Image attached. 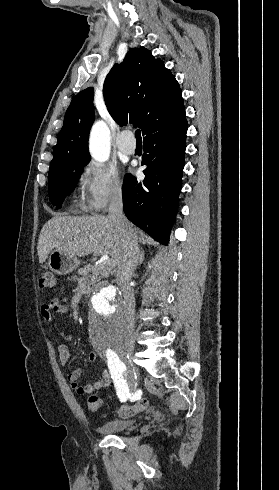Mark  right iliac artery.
Segmentation results:
<instances>
[{
    "label": "right iliac artery",
    "instance_id": "right-iliac-artery-1",
    "mask_svg": "<svg viewBox=\"0 0 279 490\" xmlns=\"http://www.w3.org/2000/svg\"><path fill=\"white\" fill-rule=\"evenodd\" d=\"M106 363L112 375H115L117 396L122 402H128L131 396L128 378H120L121 372L126 369L125 364L121 361L118 352H108Z\"/></svg>",
    "mask_w": 279,
    "mask_h": 490
}]
</instances>
